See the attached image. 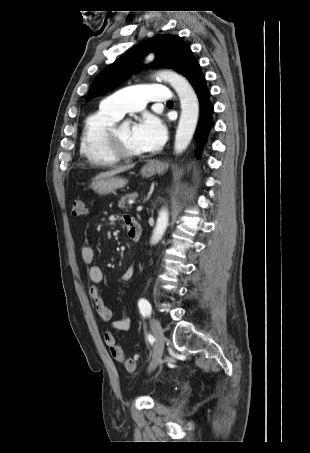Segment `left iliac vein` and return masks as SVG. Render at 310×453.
<instances>
[{
  "label": "left iliac vein",
  "mask_w": 310,
  "mask_h": 453,
  "mask_svg": "<svg viewBox=\"0 0 310 453\" xmlns=\"http://www.w3.org/2000/svg\"><path fill=\"white\" fill-rule=\"evenodd\" d=\"M150 326L155 337V348L153 358L149 366V370L152 371L157 367V365L161 361L165 345V337L160 322L157 319L152 318L150 321Z\"/></svg>",
  "instance_id": "4c4485c4"
}]
</instances>
